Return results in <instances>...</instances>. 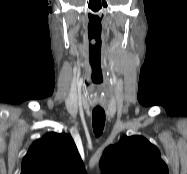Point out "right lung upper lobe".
<instances>
[{
  "label": "right lung upper lobe",
  "mask_w": 187,
  "mask_h": 174,
  "mask_svg": "<svg viewBox=\"0 0 187 174\" xmlns=\"http://www.w3.org/2000/svg\"><path fill=\"white\" fill-rule=\"evenodd\" d=\"M21 174H86L68 134L48 133L36 140L22 161Z\"/></svg>",
  "instance_id": "right-lung-upper-lobe-1"
}]
</instances>
